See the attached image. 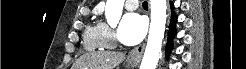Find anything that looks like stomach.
<instances>
[{
  "label": "stomach",
  "instance_id": "obj_1",
  "mask_svg": "<svg viewBox=\"0 0 246 69\" xmlns=\"http://www.w3.org/2000/svg\"><path fill=\"white\" fill-rule=\"evenodd\" d=\"M129 66L130 67H135L136 66V63H130Z\"/></svg>",
  "mask_w": 246,
  "mask_h": 69
}]
</instances>
